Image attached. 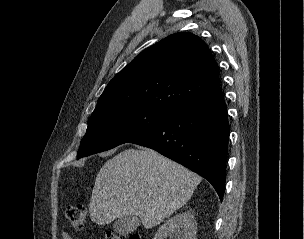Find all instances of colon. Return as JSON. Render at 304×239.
I'll list each match as a JSON object with an SVG mask.
<instances>
[{"mask_svg":"<svg viewBox=\"0 0 304 239\" xmlns=\"http://www.w3.org/2000/svg\"><path fill=\"white\" fill-rule=\"evenodd\" d=\"M65 215L74 229L81 230L84 227L87 219V211L83 205H68L65 209ZM105 239H141V236L137 233L123 235L113 231H107Z\"/></svg>","mask_w":304,"mask_h":239,"instance_id":"1","label":"colon"}]
</instances>
